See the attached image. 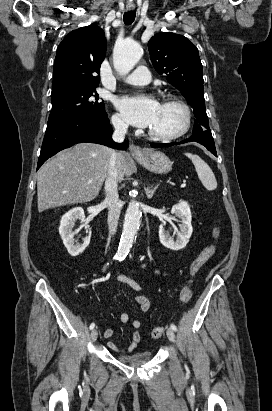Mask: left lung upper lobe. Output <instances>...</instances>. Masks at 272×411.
I'll return each mask as SVG.
<instances>
[{
    "instance_id": "1",
    "label": "left lung upper lobe",
    "mask_w": 272,
    "mask_h": 411,
    "mask_svg": "<svg viewBox=\"0 0 272 411\" xmlns=\"http://www.w3.org/2000/svg\"><path fill=\"white\" fill-rule=\"evenodd\" d=\"M148 49L156 71L179 89L194 109L193 134L210 131L198 49L186 37L171 32L153 36L148 42Z\"/></svg>"
}]
</instances>
